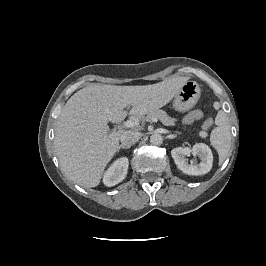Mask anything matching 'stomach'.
Instances as JSON below:
<instances>
[{"label":"stomach","instance_id":"stomach-1","mask_svg":"<svg viewBox=\"0 0 266 266\" xmlns=\"http://www.w3.org/2000/svg\"><path fill=\"white\" fill-rule=\"evenodd\" d=\"M201 89L195 81H186L174 96L173 107L179 112L192 109L200 98Z\"/></svg>","mask_w":266,"mask_h":266}]
</instances>
